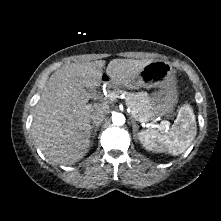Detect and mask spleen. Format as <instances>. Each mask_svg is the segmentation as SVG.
<instances>
[{"instance_id": "obj_1", "label": "spleen", "mask_w": 221, "mask_h": 221, "mask_svg": "<svg viewBox=\"0 0 221 221\" xmlns=\"http://www.w3.org/2000/svg\"><path fill=\"white\" fill-rule=\"evenodd\" d=\"M197 133L195 115L189 105L180 108L177 124L161 134L158 130L147 129L138 134L139 140L147 150L178 155L186 151Z\"/></svg>"}]
</instances>
